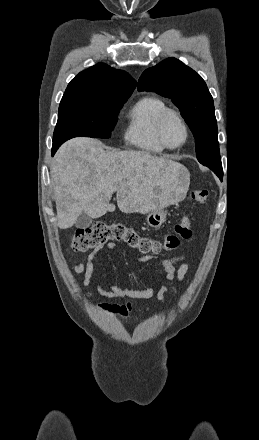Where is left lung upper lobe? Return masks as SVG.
Returning a JSON list of instances; mask_svg holds the SVG:
<instances>
[{"label":"left lung upper lobe","instance_id":"obj_1","mask_svg":"<svg viewBox=\"0 0 259 440\" xmlns=\"http://www.w3.org/2000/svg\"><path fill=\"white\" fill-rule=\"evenodd\" d=\"M138 88L172 99L194 135L198 161L220 177L223 170L214 103L201 76L181 61L168 58L145 70Z\"/></svg>","mask_w":259,"mask_h":440}]
</instances>
